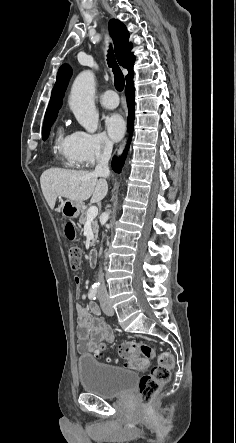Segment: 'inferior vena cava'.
Listing matches in <instances>:
<instances>
[{
	"instance_id": "602c4592",
	"label": "inferior vena cava",
	"mask_w": 236,
	"mask_h": 443,
	"mask_svg": "<svg viewBox=\"0 0 236 443\" xmlns=\"http://www.w3.org/2000/svg\"><path fill=\"white\" fill-rule=\"evenodd\" d=\"M113 143L108 138L102 140V150L96 154V167L94 173L98 176L107 178L110 174L108 162L111 158ZM100 286L98 289V298L101 305L109 303V297L106 290L102 271L99 272Z\"/></svg>"
}]
</instances>
